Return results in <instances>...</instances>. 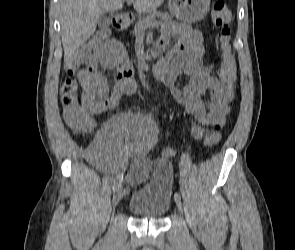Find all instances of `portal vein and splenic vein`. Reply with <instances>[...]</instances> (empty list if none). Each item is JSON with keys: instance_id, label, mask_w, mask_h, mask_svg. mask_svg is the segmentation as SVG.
Listing matches in <instances>:
<instances>
[{"instance_id": "18ae733b", "label": "portal vein and splenic vein", "mask_w": 295, "mask_h": 250, "mask_svg": "<svg viewBox=\"0 0 295 250\" xmlns=\"http://www.w3.org/2000/svg\"><path fill=\"white\" fill-rule=\"evenodd\" d=\"M128 3H132L133 2V0H126ZM148 26L149 27H158L159 26V23L158 22H156V21H154V22H150L149 24H148Z\"/></svg>"}]
</instances>
